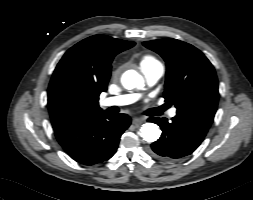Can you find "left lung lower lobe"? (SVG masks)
<instances>
[{"label":"left lung lower lobe","mask_w":253,"mask_h":200,"mask_svg":"<svg viewBox=\"0 0 253 200\" xmlns=\"http://www.w3.org/2000/svg\"><path fill=\"white\" fill-rule=\"evenodd\" d=\"M161 127L162 135L151 144L150 154L163 161H174L194 152L204 140L212 122L198 116L177 113L167 119L150 118Z\"/></svg>","instance_id":"left-lung-lower-lobe-1"}]
</instances>
